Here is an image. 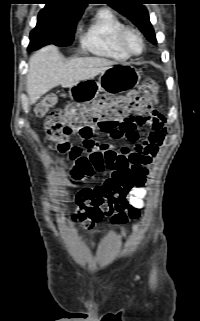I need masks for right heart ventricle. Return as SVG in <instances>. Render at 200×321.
I'll return each instance as SVG.
<instances>
[{"mask_svg":"<svg viewBox=\"0 0 200 321\" xmlns=\"http://www.w3.org/2000/svg\"><path fill=\"white\" fill-rule=\"evenodd\" d=\"M124 22L112 10L99 9L91 19L85 31L80 37V43L90 53L124 61L129 59L119 46L117 36Z\"/></svg>","mask_w":200,"mask_h":321,"instance_id":"right-heart-ventricle-1","label":"right heart ventricle"}]
</instances>
